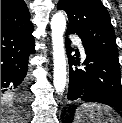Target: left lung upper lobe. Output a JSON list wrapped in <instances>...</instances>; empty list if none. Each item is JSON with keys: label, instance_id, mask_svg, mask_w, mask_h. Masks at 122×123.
Segmentation results:
<instances>
[{"label": "left lung upper lobe", "instance_id": "5c2ea615", "mask_svg": "<svg viewBox=\"0 0 122 123\" xmlns=\"http://www.w3.org/2000/svg\"><path fill=\"white\" fill-rule=\"evenodd\" d=\"M57 9L67 13V30L83 43L118 56L110 15L101 0H59Z\"/></svg>", "mask_w": 122, "mask_h": 123}]
</instances>
